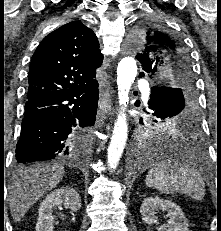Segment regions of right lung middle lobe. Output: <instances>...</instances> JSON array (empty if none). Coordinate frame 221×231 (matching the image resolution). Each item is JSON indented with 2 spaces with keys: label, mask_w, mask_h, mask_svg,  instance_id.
Here are the masks:
<instances>
[{
  "label": "right lung middle lobe",
  "mask_w": 221,
  "mask_h": 231,
  "mask_svg": "<svg viewBox=\"0 0 221 231\" xmlns=\"http://www.w3.org/2000/svg\"><path fill=\"white\" fill-rule=\"evenodd\" d=\"M86 132H87V135H89V129H88V130H86Z\"/></svg>",
  "instance_id": "1"
}]
</instances>
